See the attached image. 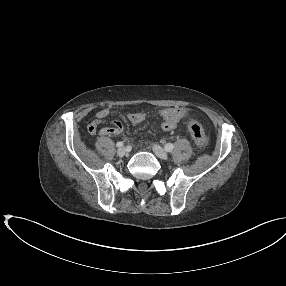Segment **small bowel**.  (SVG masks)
I'll return each instance as SVG.
<instances>
[{
	"instance_id": "obj_1",
	"label": "small bowel",
	"mask_w": 286,
	"mask_h": 286,
	"mask_svg": "<svg viewBox=\"0 0 286 286\" xmlns=\"http://www.w3.org/2000/svg\"><path fill=\"white\" fill-rule=\"evenodd\" d=\"M110 115L108 108H102L96 113V119L93 120L87 127L88 133L94 135L97 132L99 125L106 123V119ZM158 115L161 118V128L164 131L174 130L180 120L187 118L191 115V111L186 108H165L158 111ZM148 116L145 112L129 113L127 118L132 124H139L143 122ZM123 125L119 121H112L109 125L100 129L99 133L102 136L120 135L123 133Z\"/></svg>"
}]
</instances>
